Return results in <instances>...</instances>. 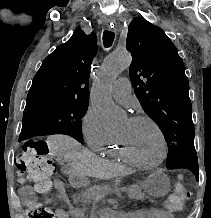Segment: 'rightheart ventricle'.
<instances>
[{"label":"right heart ventricle","mask_w":211,"mask_h":218,"mask_svg":"<svg viewBox=\"0 0 211 218\" xmlns=\"http://www.w3.org/2000/svg\"><path fill=\"white\" fill-rule=\"evenodd\" d=\"M96 151L100 152L101 154L114 158L119 161H123L126 163H132L121 151L115 135L111 134V136L107 139L105 143L99 146Z\"/></svg>","instance_id":"1"}]
</instances>
